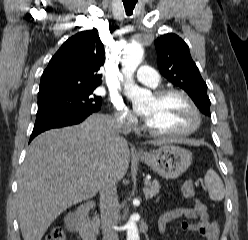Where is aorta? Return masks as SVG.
Wrapping results in <instances>:
<instances>
[{"instance_id": "obj_1", "label": "aorta", "mask_w": 248, "mask_h": 240, "mask_svg": "<svg viewBox=\"0 0 248 240\" xmlns=\"http://www.w3.org/2000/svg\"><path fill=\"white\" fill-rule=\"evenodd\" d=\"M144 49L139 43L126 46L122 52V64L124 69V94L128 97L134 107L142 105L151 97L150 91L140 88L133 80V74L142 61ZM127 240H140L136 220L131 217L126 224Z\"/></svg>"}]
</instances>
